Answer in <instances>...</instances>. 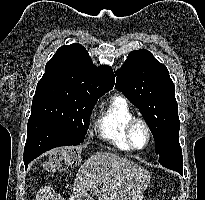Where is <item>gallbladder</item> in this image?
I'll return each instance as SVG.
<instances>
[{"instance_id": "gallbladder-1", "label": "gallbladder", "mask_w": 205, "mask_h": 200, "mask_svg": "<svg viewBox=\"0 0 205 200\" xmlns=\"http://www.w3.org/2000/svg\"><path fill=\"white\" fill-rule=\"evenodd\" d=\"M80 200H89V197L83 196Z\"/></svg>"}]
</instances>
